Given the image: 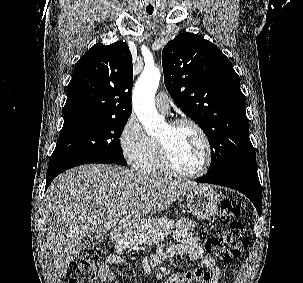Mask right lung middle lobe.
<instances>
[{"label": "right lung middle lobe", "instance_id": "1", "mask_svg": "<svg viewBox=\"0 0 303 283\" xmlns=\"http://www.w3.org/2000/svg\"><path fill=\"white\" fill-rule=\"evenodd\" d=\"M127 119L92 114L64 117L49 165L78 160H105L127 165L119 139Z\"/></svg>", "mask_w": 303, "mask_h": 283}]
</instances>
